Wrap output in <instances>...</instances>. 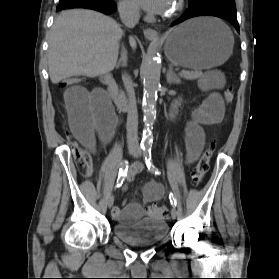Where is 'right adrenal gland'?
<instances>
[{
    "label": "right adrenal gland",
    "instance_id": "2a0ac1e0",
    "mask_svg": "<svg viewBox=\"0 0 279 279\" xmlns=\"http://www.w3.org/2000/svg\"><path fill=\"white\" fill-rule=\"evenodd\" d=\"M126 67L127 66V51L124 47H122V53H121V58L117 62L116 67Z\"/></svg>",
    "mask_w": 279,
    "mask_h": 279
}]
</instances>
